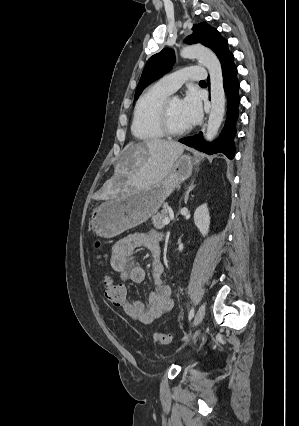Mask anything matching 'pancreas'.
I'll use <instances>...</instances> for the list:
<instances>
[{"label": "pancreas", "instance_id": "obj_1", "mask_svg": "<svg viewBox=\"0 0 299 426\" xmlns=\"http://www.w3.org/2000/svg\"><path fill=\"white\" fill-rule=\"evenodd\" d=\"M167 215H168V206L167 204H164L162 207V210L152 217L151 219L152 224L157 229H162L164 227L163 219L167 217Z\"/></svg>", "mask_w": 299, "mask_h": 426}]
</instances>
